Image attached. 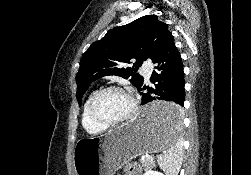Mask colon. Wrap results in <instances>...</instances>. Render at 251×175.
<instances>
[{
	"instance_id": "1",
	"label": "colon",
	"mask_w": 251,
	"mask_h": 175,
	"mask_svg": "<svg viewBox=\"0 0 251 175\" xmlns=\"http://www.w3.org/2000/svg\"><path fill=\"white\" fill-rule=\"evenodd\" d=\"M125 175H141V166L137 162H129L125 165Z\"/></svg>"
}]
</instances>
